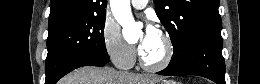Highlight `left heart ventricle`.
Instances as JSON below:
<instances>
[{"instance_id": "1", "label": "left heart ventricle", "mask_w": 260, "mask_h": 84, "mask_svg": "<svg viewBox=\"0 0 260 84\" xmlns=\"http://www.w3.org/2000/svg\"><path fill=\"white\" fill-rule=\"evenodd\" d=\"M141 39L142 36H140L139 40L141 41ZM140 54L142 58L150 64L158 63L163 59L165 46L159 34L146 49L140 52Z\"/></svg>"}]
</instances>
